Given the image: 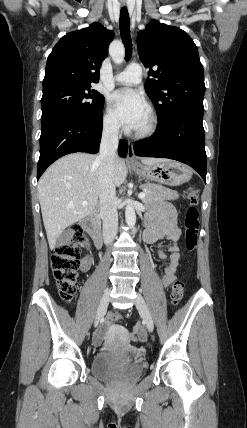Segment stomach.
<instances>
[{
	"mask_svg": "<svg viewBox=\"0 0 247 428\" xmlns=\"http://www.w3.org/2000/svg\"><path fill=\"white\" fill-rule=\"evenodd\" d=\"M134 171L146 180L170 186H179L192 177V170L189 166L172 160L153 165H138L134 167Z\"/></svg>",
	"mask_w": 247,
	"mask_h": 428,
	"instance_id": "stomach-1",
	"label": "stomach"
}]
</instances>
